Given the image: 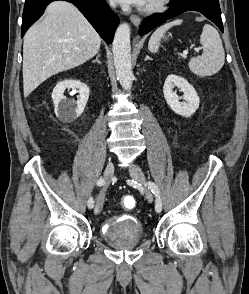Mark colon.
<instances>
[{"mask_svg":"<svg viewBox=\"0 0 249 294\" xmlns=\"http://www.w3.org/2000/svg\"><path fill=\"white\" fill-rule=\"evenodd\" d=\"M122 205L125 209H132L136 205V200L131 196H125L122 198Z\"/></svg>","mask_w":249,"mask_h":294,"instance_id":"obj_1","label":"colon"}]
</instances>
